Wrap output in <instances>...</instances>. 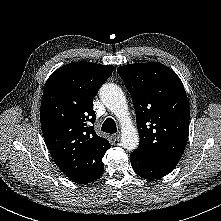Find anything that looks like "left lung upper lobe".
Here are the masks:
<instances>
[{"instance_id":"5c2ea615","label":"left lung upper lobe","mask_w":221,"mask_h":221,"mask_svg":"<svg viewBox=\"0 0 221 221\" xmlns=\"http://www.w3.org/2000/svg\"><path fill=\"white\" fill-rule=\"evenodd\" d=\"M118 74L132 96L140 144L132 153L176 165L189 132V102L177 74L158 62L120 66Z\"/></svg>"}]
</instances>
